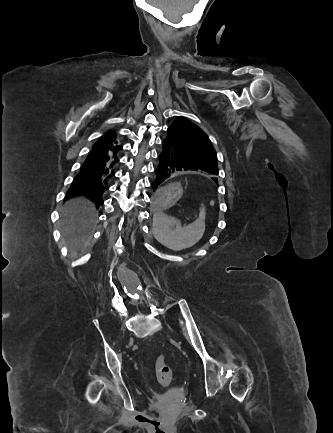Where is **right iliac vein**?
<instances>
[{"instance_id":"63e3f726","label":"right iliac vein","mask_w":333,"mask_h":433,"mask_svg":"<svg viewBox=\"0 0 333 433\" xmlns=\"http://www.w3.org/2000/svg\"><path fill=\"white\" fill-rule=\"evenodd\" d=\"M133 343H134V339L131 338V339H130V342H129V345L131 346Z\"/></svg>"}]
</instances>
